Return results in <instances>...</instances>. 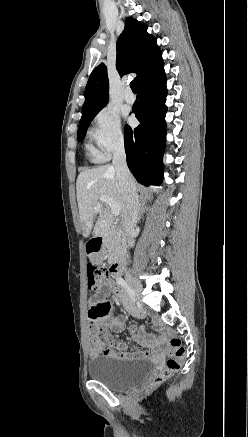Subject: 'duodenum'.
<instances>
[{
	"instance_id": "duodenum-1",
	"label": "duodenum",
	"mask_w": 248,
	"mask_h": 437,
	"mask_svg": "<svg viewBox=\"0 0 248 437\" xmlns=\"http://www.w3.org/2000/svg\"><path fill=\"white\" fill-rule=\"evenodd\" d=\"M121 229L120 225L115 226L114 230L119 231ZM104 246V238L103 237H94L92 238L86 246V255L87 257H96L97 253L103 249ZM124 267V259L116 258L111 265V271L114 275H119Z\"/></svg>"
}]
</instances>
